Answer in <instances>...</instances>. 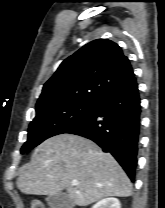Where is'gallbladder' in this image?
I'll return each mask as SVG.
<instances>
[{"label": "gallbladder", "instance_id": "bac80fb5", "mask_svg": "<svg viewBox=\"0 0 165 208\" xmlns=\"http://www.w3.org/2000/svg\"><path fill=\"white\" fill-rule=\"evenodd\" d=\"M50 208H74L75 204L66 193L48 195L46 198Z\"/></svg>", "mask_w": 165, "mask_h": 208}]
</instances>
